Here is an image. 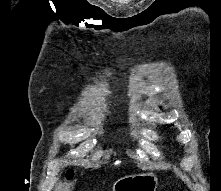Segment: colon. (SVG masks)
Segmentation results:
<instances>
[{
    "mask_svg": "<svg viewBox=\"0 0 221 191\" xmlns=\"http://www.w3.org/2000/svg\"><path fill=\"white\" fill-rule=\"evenodd\" d=\"M72 175H73L72 171H71V170H67V172H66V177H67L68 179H70V178H72Z\"/></svg>",
    "mask_w": 221,
    "mask_h": 191,
    "instance_id": "1",
    "label": "colon"
}]
</instances>
